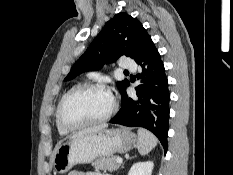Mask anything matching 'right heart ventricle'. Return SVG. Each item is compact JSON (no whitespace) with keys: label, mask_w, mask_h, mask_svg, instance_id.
I'll return each instance as SVG.
<instances>
[{"label":"right heart ventricle","mask_w":233,"mask_h":175,"mask_svg":"<svg viewBox=\"0 0 233 175\" xmlns=\"http://www.w3.org/2000/svg\"><path fill=\"white\" fill-rule=\"evenodd\" d=\"M70 90H71V89H70ZM67 92H68V91H67ZM67 92H65V93L63 94V96H64ZM63 96H62V97H63ZM55 123H56L57 130H58V132H59L60 134L64 135V134H67V133H68L67 130L63 129V128L58 124V121H57V110H56V113H55Z\"/></svg>","instance_id":"obj_1"}]
</instances>
